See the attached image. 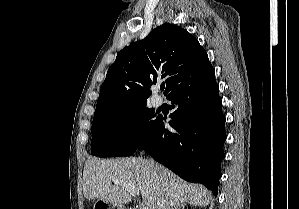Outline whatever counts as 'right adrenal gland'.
<instances>
[{
	"mask_svg": "<svg viewBox=\"0 0 299 209\" xmlns=\"http://www.w3.org/2000/svg\"><path fill=\"white\" fill-rule=\"evenodd\" d=\"M171 209H185V206L184 205H181L179 207H174V208H171Z\"/></svg>",
	"mask_w": 299,
	"mask_h": 209,
	"instance_id": "right-adrenal-gland-1",
	"label": "right adrenal gland"
}]
</instances>
